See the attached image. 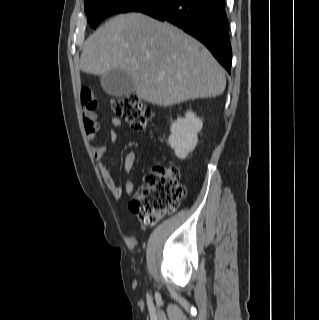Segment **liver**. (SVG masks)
<instances>
[{"label":"liver","mask_w":319,"mask_h":320,"mask_svg":"<svg viewBox=\"0 0 319 320\" xmlns=\"http://www.w3.org/2000/svg\"><path fill=\"white\" fill-rule=\"evenodd\" d=\"M80 69L100 76L123 70L140 99L164 107L216 97L226 86L224 69L200 42L141 13L118 15L91 35Z\"/></svg>","instance_id":"liver-1"}]
</instances>
